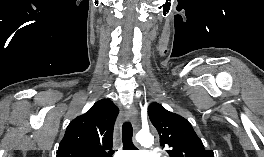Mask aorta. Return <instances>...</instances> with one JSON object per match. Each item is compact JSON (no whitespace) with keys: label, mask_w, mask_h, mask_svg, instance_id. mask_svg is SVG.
I'll return each mask as SVG.
<instances>
[{"label":"aorta","mask_w":264,"mask_h":157,"mask_svg":"<svg viewBox=\"0 0 264 157\" xmlns=\"http://www.w3.org/2000/svg\"><path fill=\"white\" fill-rule=\"evenodd\" d=\"M137 141L144 147H149L153 143V137L150 133H140L137 135Z\"/></svg>","instance_id":"1"}]
</instances>
